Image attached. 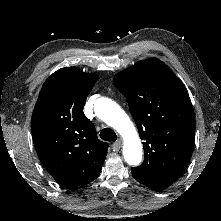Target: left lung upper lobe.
<instances>
[{"label":"left lung upper lobe","mask_w":221,"mask_h":221,"mask_svg":"<svg viewBox=\"0 0 221 221\" xmlns=\"http://www.w3.org/2000/svg\"><path fill=\"white\" fill-rule=\"evenodd\" d=\"M126 97L144 147V162L132 168L142 184H172L194 146L195 116L188 92L157 58L137 62L114 77Z\"/></svg>","instance_id":"obj_1"}]
</instances>
